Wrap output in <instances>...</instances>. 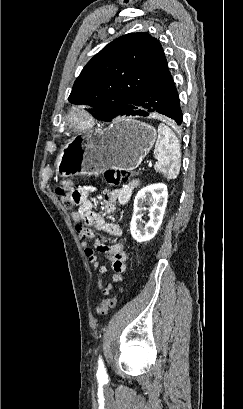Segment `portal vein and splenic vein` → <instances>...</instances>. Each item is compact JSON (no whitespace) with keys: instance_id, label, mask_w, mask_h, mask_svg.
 <instances>
[{"instance_id":"portal-vein-and-splenic-vein-1","label":"portal vein and splenic vein","mask_w":243,"mask_h":409,"mask_svg":"<svg viewBox=\"0 0 243 409\" xmlns=\"http://www.w3.org/2000/svg\"><path fill=\"white\" fill-rule=\"evenodd\" d=\"M148 166L151 167V166H152V163H149Z\"/></svg>"}]
</instances>
